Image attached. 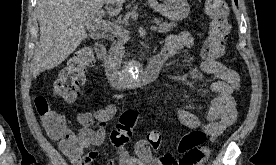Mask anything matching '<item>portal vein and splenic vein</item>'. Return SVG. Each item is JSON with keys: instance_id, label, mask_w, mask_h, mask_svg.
<instances>
[{"instance_id": "portal-vein-and-splenic-vein-1", "label": "portal vein and splenic vein", "mask_w": 276, "mask_h": 165, "mask_svg": "<svg viewBox=\"0 0 276 165\" xmlns=\"http://www.w3.org/2000/svg\"><path fill=\"white\" fill-rule=\"evenodd\" d=\"M93 23L95 25V27L105 31V32H110L113 33L115 35H118L120 37H124L128 34V32L123 29L122 27L118 26L117 24L105 21L102 19V11H100L99 13H97V15L93 18ZM89 25V23H87V26ZM150 29L152 31H156L157 30V26L156 25H152L150 27Z\"/></svg>"}]
</instances>
